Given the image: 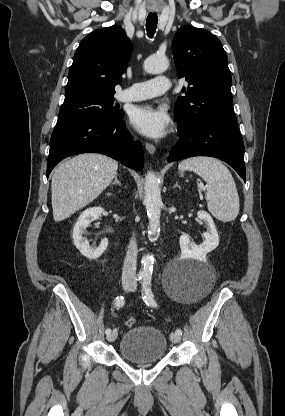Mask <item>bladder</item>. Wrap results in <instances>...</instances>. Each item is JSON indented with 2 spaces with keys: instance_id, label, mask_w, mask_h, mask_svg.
Returning a JSON list of instances; mask_svg holds the SVG:
<instances>
[{
  "instance_id": "obj_1",
  "label": "bladder",
  "mask_w": 285,
  "mask_h": 416,
  "mask_svg": "<svg viewBox=\"0 0 285 416\" xmlns=\"http://www.w3.org/2000/svg\"><path fill=\"white\" fill-rule=\"evenodd\" d=\"M123 360L130 363H157L167 351V340L154 326L141 325L129 328L117 344Z\"/></svg>"
}]
</instances>
